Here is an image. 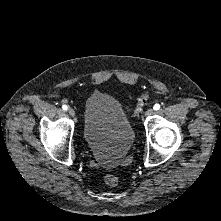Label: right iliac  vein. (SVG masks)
Returning <instances> with one entry per match:
<instances>
[{
  "mask_svg": "<svg viewBox=\"0 0 221 221\" xmlns=\"http://www.w3.org/2000/svg\"><path fill=\"white\" fill-rule=\"evenodd\" d=\"M68 114H69L71 117H74V116H75V111H74L72 108H69V109H68Z\"/></svg>",
  "mask_w": 221,
  "mask_h": 221,
  "instance_id": "right-iliac-vein-1",
  "label": "right iliac vein"
}]
</instances>
